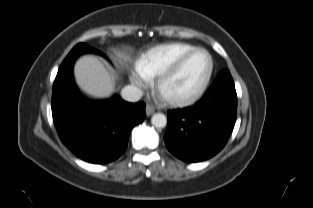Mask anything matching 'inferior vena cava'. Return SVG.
<instances>
[{
	"label": "inferior vena cava",
	"instance_id": "inferior-vena-cava-1",
	"mask_svg": "<svg viewBox=\"0 0 313 208\" xmlns=\"http://www.w3.org/2000/svg\"><path fill=\"white\" fill-rule=\"evenodd\" d=\"M142 95V90L132 85L125 86L121 91L122 98L130 102H136L140 100Z\"/></svg>",
	"mask_w": 313,
	"mask_h": 208
}]
</instances>
